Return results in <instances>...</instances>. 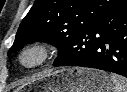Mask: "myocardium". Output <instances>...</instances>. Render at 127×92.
I'll use <instances>...</instances> for the list:
<instances>
[{
  "mask_svg": "<svg viewBox=\"0 0 127 92\" xmlns=\"http://www.w3.org/2000/svg\"><path fill=\"white\" fill-rule=\"evenodd\" d=\"M54 55V49L47 42H34L24 46L18 53L17 63L26 70L47 64ZM28 59H30L28 61Z\"/></svg>",
  "mask_w": 127,
  "mask_h": 92,
  "instance_id": "f54148a6",
  "label": "myocardium"
}]
</instances>
